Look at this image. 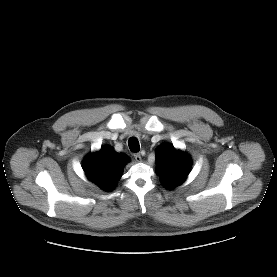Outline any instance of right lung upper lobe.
Wrapping results in <instances>:
<instances>
[{
    "mask_svg": "<svg viewBox=\"0 0 277 277\" xmlns=\"http://www.w3.org/2000/svg\"><path fill=\"white\" fill-rule=\"evenodd\" d=\"M129 161L112 147H102L99 152L88 155L83 161V170L89 180L106 191L115 188L122 176L123 166Z\"/></svg>",
    "mask_w": 277,
    "mask_h": 277,
    "instance_id": "right-lung-upper-lobe-1",
    "label": "right lung upper lobe"
}]
</instances>
